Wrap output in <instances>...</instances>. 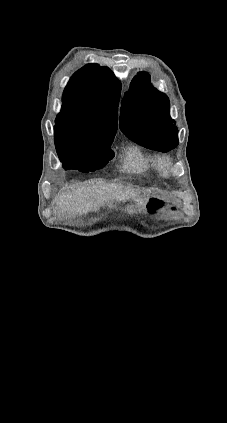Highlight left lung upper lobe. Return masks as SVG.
<instances>
[{
  "label": "left lung upper lobe",
  "mask_w": 227,
  "mask_h": 423,
  "mask_svg": "<svg viewBox=\"0 0 227 423\" xmlns=\"http://www.w3.org/2000/svg\"><path fill=\"white\" fill-rule=\"evenodd\" d=\"M169 107L168 97L150 84V75L140 72L122 100L120 129L146 148L167 152L179 144Z\"/></svg>",
  "instance_id": "5c2ea615"
}]
</instances>
